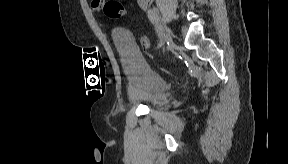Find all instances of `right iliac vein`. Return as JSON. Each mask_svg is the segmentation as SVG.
<instances>
[{
    "label": "right iliac vein",
    "instance_id": "63e3f726",
    "mask_svg": "<svg viewBox=\"0 0 288 164\" xmlns=\"http://www.w3.org/2000/svg\"><path fill=\"white\" fill-rule=\"evenodd\" d=\"M158 22L161 26V33H162L163 42L171 41L172 36H171L170 29L166 26V24L162 21V19L160 17H158Z\"/></svg>",
    "mask_w": 288,
    "mask_h": 164
}]
</instances>
